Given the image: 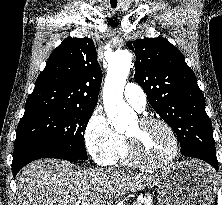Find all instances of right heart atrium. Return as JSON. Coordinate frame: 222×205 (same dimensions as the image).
<instances>
[{
  "label": "right heart atrium",
  "mask_w": 222,
  "mask_h": 205,
  "mask_svg": "<svg viewBox=\"0 0 222 205\" xmlns=\"http://www.w3.org/2000/svg\"><path fill=\"white\" fill-rule=\"evenodd\" d=\"M84 140L88 152L99 165H110L120 149L122 136L110 125L99 110L92 113L85 130Z\"/></svg>",
  "instance_id": "1"
}]
</instances>
